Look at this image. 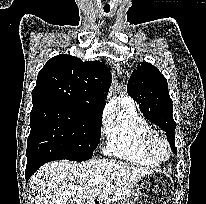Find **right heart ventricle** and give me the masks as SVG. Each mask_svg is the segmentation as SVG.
<instances>
[{
    "instance_id": "e07e8e85",
    "label": "right heart ventricle",
    "mask_w": 206,
    "mask_h": 204,
    "mask_svg": "<svg viewBox=\"0 0 206 204\" xmlns=\"http://www.w3.org/2000/svg\"><path fill=\"white\" fill-rule=\"evenodd\" d=\"M152 130L135 105L119 101L117 111L107 118L104 153L123 161L145 167L157 165L143 149V139Z\"/></svg>"
}]
</instances>
